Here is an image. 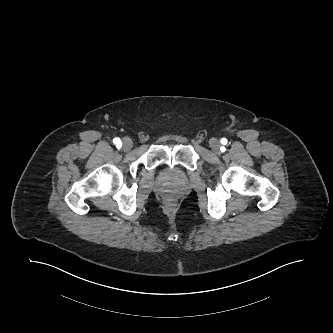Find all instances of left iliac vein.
Instances as JSON below:
<instances>
[{
	"instance_id": "left-iliac-vein-1",
	"label": "left iliac vein",
	"mask_w": 333,
	"mask_h": 333,
	"mask_svg": "<svg viewBox=\"0 0 333 333\" xmlns=\"http://www.w3.org/2000/svg\"><path fill=\"white\" fill-rule=\"evenodd\" d=\"M209 145H210V148L212 149L213 152H215V153L220 152V146L221 145H220V142L217 139H215V138L211 139L210 142H209Z\"/></svg>"
}]
</instances>
